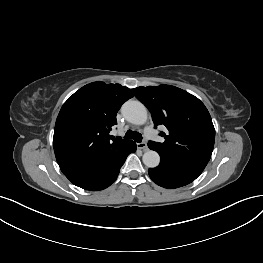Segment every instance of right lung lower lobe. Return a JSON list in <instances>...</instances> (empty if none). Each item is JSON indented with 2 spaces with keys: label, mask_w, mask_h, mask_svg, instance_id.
I'll list each match as a JSON object with an SVG mask.
<instances>
[{
  "label": "right lung lower lobe",
  "mask_w": 263,
  "mask_h": 263,
  "mask_svg": "<svg viewBox=\"0 0 263 263\" xmlns=\"http://www.w3.org/2000/svg\"><path fill=\"white\" fill-rule=\"evenodd\" d=\"M136 151V143L131 141L121 150L113 153L100 163L89 168L66 174L76 186L86 190H102L110 186L117 178L127 156Z\"/></svg>",
  "instance_id": "right-lung-lower-lobe-1"
}]
</instances>
